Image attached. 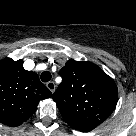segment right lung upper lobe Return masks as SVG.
Listing matches in <instances>:
<instances>
[{"mask_svg": "<svg viewBox=\"0 0 136 136\" xmlns=\"http://www.w3.org/2000/svg\"><path fill=\"white\" fill-rule=\"evenodd\" d=\"M52 93L36 73L23 68V61H0V123L19 126L36 111L40 100Z\"/></svg>", "mask_w": 136, "mask_h": 136, "instance_id": "right-lung-upper-lobe-1", "label": "right lung upper lobe"}]
</instances>
